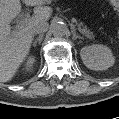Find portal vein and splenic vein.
<instances>
[{
	"instance_id": "18ae733b",
	"label": "portal vein and splenic vein",
	"mask_w": 119,
	"mask_h": 119,
	"mask_svg": "<svg viewBox=\"0 0 119 119\" xmlns=\"http://www.w3.org/2000/svg\"><path fill=\"white\" fill-rule=\"evenodd\" d=\"M31 22V18L28 14L24 17V19L19 23L20 29L23 28L26 24Z\"/></svg>"
}]
</instances>
